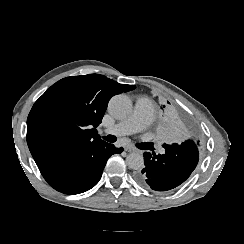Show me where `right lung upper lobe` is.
Returning <instances> with one entry per match:
<instances>
[{
  "mask_svg": "<svg viewBox=\"0 0 244 244\" xmlns=\"http://www.w3.org/2000/svg\"><path fill=\"white\" fill-rule=\"evenodd\" d=\"M135 87L99 74L67 77L53 84L27 119V144L34 160L102 141L95 128L109 99Z\"/></svg>",
  "mask_w": 244,
  "mask_h": 244,
  "instance_id": "obj_1",
  "label": "right lung upper lobe"
}]
</instances>
